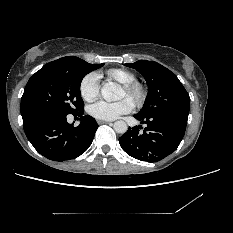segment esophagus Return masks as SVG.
<instances>
[{"mask_svg":"<svg viewBox=\"0 0 233 233\" xmlns=\"http://www.w3.org/2000/svg\"><path fill=\"white\" fill-rule=\"evenodd\" d=\"M97 123H98L99 125H101V124H109L110 121L98 120Z\"/></svg>","mask_w":233,"mask_h":233,"instance_id":"1","label":"esophagus"}]
</instances>
